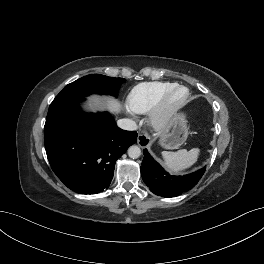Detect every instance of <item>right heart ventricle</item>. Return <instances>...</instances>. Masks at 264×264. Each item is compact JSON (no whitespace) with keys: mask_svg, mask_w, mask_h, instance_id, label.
I'll return each mask as SVG.
<instances>
[{"mask_svg":"<svg viewBox=\"0 0 264 264\" xmlns=\"http://www.w3.org/2000/svg\"><path fill=\"white\" fill-rule=\"evenodd\" d=\"M176 85L167 81L142 82L136 85L128 95V105L136 113H147L152 110L160 97Z\"/></svg>","mask_w":264,"mask_h":264,"instance_id":"1","label":"right heart ventricle"}]
</instances>
